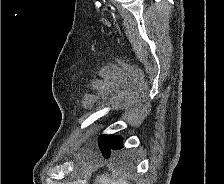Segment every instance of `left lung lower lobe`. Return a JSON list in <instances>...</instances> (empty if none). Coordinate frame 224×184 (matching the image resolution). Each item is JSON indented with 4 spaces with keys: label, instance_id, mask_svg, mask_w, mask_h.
Listing matches in <instances>:
<instances>
[{
    "label": "left lung lower lobe",
    "instance_id": "obj_1",
    "mask_svg": "<svg viewBox=\"0 0 224 184\" xmlns=\"http://www.w3.org/2000/svg\"><path fill=\"white\" fill-rule=\"evenodd\" d=\"M99 147L102 152L104 158H108L111 154V149L119 150L122 146V137L120 136H108V135H101L99 137Z\"/></svg>",
    "mask_w": 224,
    "mask_h": 184
}]
</instances>
